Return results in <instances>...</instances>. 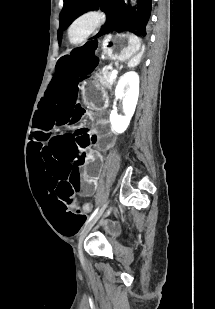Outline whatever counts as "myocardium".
Wrapping results in <instances>:
<instances>
[{
    "mask_svg": "<svg viewBox=\"0 0 215 309\" xmlns=\"http://www.w3.org/2000/svg\"><path fill=\"white\" fill-rule=\"evenodd\" d=\"M96 13H87L78 17L68 28L67 38L70 44L82 45L100 24Z\"/></svg>",
    "mask_w": 215,
    "mask_h": 309,
    "instance_id": "obj_1",
    "label": "myocardium"
}]
</instances>
